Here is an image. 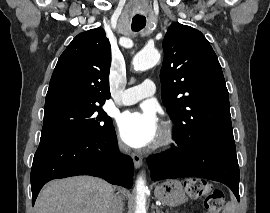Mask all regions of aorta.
<instances>
[{
	"label": "aorta",
	"mask_w": 270,
	"mask_h": 213,
	"mask_svg": "<svg viewBox=\"0 0 270 213\" xmlns=\"http://www.w3.org/2000/svg\"><path fill=\"white\" fill-rule=\"evenodd\" d=\"M160 60V53L157 49H143L133 58V67L136 71H145L155 66ZM147 186L145 179L140 175L136 181V206L134 213H146Z\"/></svg>",
	"instance_id": "aorta-1"
}]
</instances>
